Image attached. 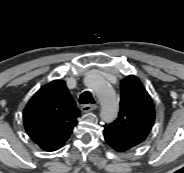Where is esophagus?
Returning a JSON list of instances; mask_svg holds the SVG:
<instances>
[{
    "instance_id": "1",
    "label": "esophagus",
    "mask_w": 184,
    "mask_h": 173,
    "mask_svg": "<svg viewBox=\"0 0 184 173\" xmlns=\"http://www.w3.org/2000/svg\"><path fill=\"white\" fill-rule=\"evenodd\" d=\"M98 108L96 104H86L81 107L82 112L87 113L90 111H94Z\"/></svg>"
}]
</instances>
